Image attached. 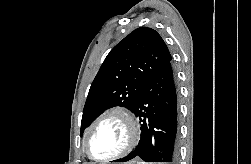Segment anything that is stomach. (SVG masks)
<instances>
[{"label": "stomach", "instance_id": "1", "mask_svg": "<svg viewBox=\"0 0 251 164\" xmlns=\"http://www.w3.org/2000/svg\"><path fill=\"white\" fill-rule=\"evenodd\" d=\"M130 164H142V162H137V163H135V162L133 161V163H130Z\"/></svg>", "mask_w": 251, "mask_h": 164}]
</instances>
